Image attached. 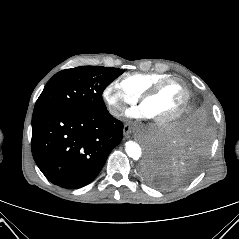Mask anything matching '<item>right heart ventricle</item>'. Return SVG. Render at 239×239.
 I'll return each mask as SVG.
<instances>
[{"instance_id": "right-heart-ventricle-1", "label": "right heart ventricle", "mask_w": 239, "mask_h": 239, "mask_svg": "<svg viewBox=\"0 0 239 239\" xmlns=\"http://www.w3.org/2000/svg\"><path fill=\"white\" fill-rule=\"evenodd\" d=\"M170 75L164 73L150 72V73H131L125 75L121 79V84L131 92L140 96L147 88L156 82L168 78Z\"/></svg>"}]
</instances>
